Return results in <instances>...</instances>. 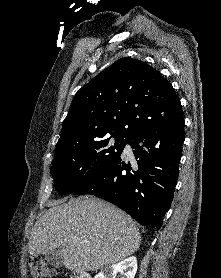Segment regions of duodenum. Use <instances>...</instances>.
Here are the masks:
<instances>
[{
  "label": "duodenum",
  "instance_id": "obj_1",
  "mask_svg": "<svg viewBox=\"0 0 221 278\" xmlns=\"http://www.w3.org/2000/svg\"><path fill=\"white\" fill-rule=\"evenodd\" d=\"M75 278H91V276L85 271H77L75 273Z\"/></svg>",
  "mask_w": 221,
  "mask_h": 278
}]
</instances>
